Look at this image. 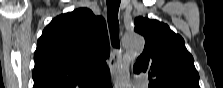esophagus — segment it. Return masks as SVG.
Returning a JSON list of instances; mask_svg holds the SVG:
<instances>
[{"mask_svg": "<svg viewBox=\"0 0 223 88\" xmlns=\"http://www.w3.org/2000/svg\"><path fill=\"white\" fill-rule=\"evenodd\" d=\"M120 60H121V51L113 50L110 54V60H109V68H110L111 77L113 80H115L117 70L119 68Z\"/></svg>", "mask_w": 223, "mask_h": 88, "instance_id": "obj_1", "label": "esophagus"}]
</instances>
